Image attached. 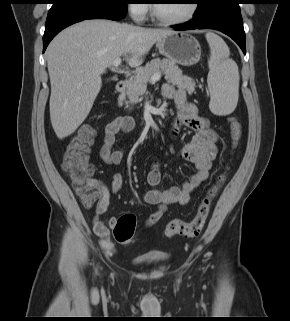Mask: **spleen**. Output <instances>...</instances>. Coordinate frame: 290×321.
Listing matches in <instances>:
<instances>
[{"mask_svg": "<svg viewBox=\"0 0 290 321\" xmlns=\"http://www.w3.org/2000/svg\"><path fill=\"white\" fill-rule=\"evenodd\" d=\"M206 40L210 47L207 79L211 95L209 107L216 115H229L235 110L239 97L238 66L229 58V48L221 37L208 32Z\"/></svg>", "mask_w": 290, "mask_h": 321, "instance_id": "3e777b00", "label": "spleen"}]
</instances>
